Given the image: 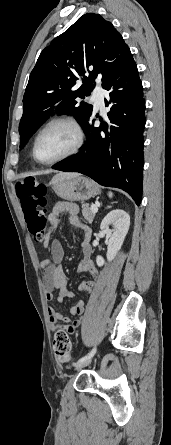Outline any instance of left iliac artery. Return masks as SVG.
Here are the masks:
<instances>
[{"label": "left iliac artery", "instance_id": "44dca946", "mask_svg": "<svg viewBox=\"0 0 171 445\" xmlns=\"http://www.w3.org/2000/svg\"><path fill=\"white\" fill-rule=\"evenodd\" d=\"M95 353H96V347H94L87 355L80 358L76 363H73V365H77V364L83 362L84 360L92 357Z\"/></svg>", "mask_w": 171, "mask_h": 445}]
</instances>
